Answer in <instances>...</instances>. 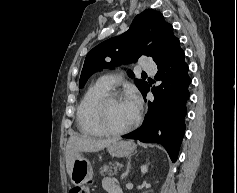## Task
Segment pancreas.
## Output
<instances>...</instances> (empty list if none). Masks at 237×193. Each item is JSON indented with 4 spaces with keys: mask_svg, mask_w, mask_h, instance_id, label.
I'll return each instance as SVG.
<instances>
[{
    "mask_svg": "<svg viewBox=\"0 0 237 193\" xmlns=\"http://www.w3.org/2000/svg\"><path fill=\"white\" fill-rule=\"evenodd\" d=\"M121 167V164L118 162L109 163L103 166V168L100 169V174L103 176L105 173L112 176L117 174V169Z\"/></svg>",
    "mask_w": 237,
    "mask_h": 193,
    "instance_id": "cf45deb5",
    "label": "pancreas"
}]
</instances>
